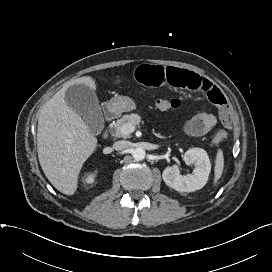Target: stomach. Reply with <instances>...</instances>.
Instances as JSON below:
<instances>
[{
	"label": "stomach",
	"instance_id": "1",
	"mask_svg": "<svg viewBox=\"0 0 272 272\" xmlns=\"http://www.w3.org/2000/svg\"><path fill=\"white\" fill-rule=\"evenodd\" d=\"M108 107L113 113L120 114L123 112H130L132 110H135L136 104L129 97L118 96V97L112 98L109 101Z\"/></svg>",
	"mask_w": 272,
	"mask_h": 272
}]
</instances>
